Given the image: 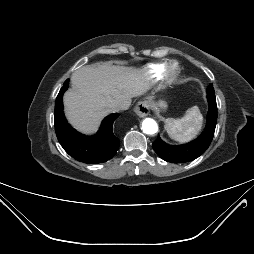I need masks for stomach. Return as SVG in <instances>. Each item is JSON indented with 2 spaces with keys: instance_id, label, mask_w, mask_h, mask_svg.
I'll list each match as a JSON object with an SVG mask.
<instances>
[{
  "instance_id": "stomach-1",
  "label": "stomach",
  "mask_w": 254,
  "mask_h": 254,
  "mask_svg": "<svg viewBox=\"0 0 254 254\" xmlns=\"http://www.w3.org/2000/svg\"><path fill=\"white\" fill-rule=\"evenodd\" d=\"M150 106L153 110L160 112L167 109V103L164 100H150Z\"/></svg>"
}]
</instances>
